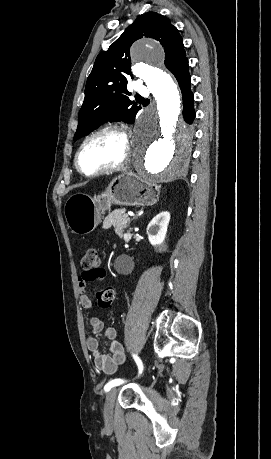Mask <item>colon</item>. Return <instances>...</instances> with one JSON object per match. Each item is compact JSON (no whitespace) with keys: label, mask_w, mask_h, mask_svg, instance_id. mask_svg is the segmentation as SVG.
Masks as SVG:
<instances>
[{"label":"colon","mask_w":271,"mask_h":459,"mask_svg":"<svg viewBox=\"0 0 271 459\" xmlns=\"http://www.w3.org/2000/svg\"><path fill=\"white\" fill-rule=\"evenodd\" d=\"M101 259L96 249L88 248L82 259L81 267L85 272H90L100 268ZM114 290L111 288H105L100 290L96 294V305L99 309L105 310L108 309L114 300Z\"/></svg>","instance_id":"1"}]
</instances>
